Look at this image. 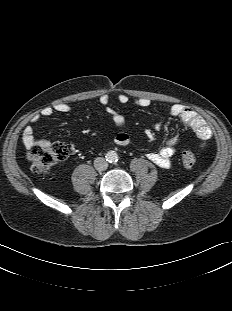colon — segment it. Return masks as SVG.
I'll return each instance as SVG.
<instances>
[{
	"label": "colon",
	"instance_id": "obj_1",
	"mask_svg": "<svg viewBox=\"0 0 232 311\" xmlns=\"http://www.w3.org/2000/svg\"><path fill=\"white\" fill-rule=\"evenodd\" d=\"M67 156V146L62 142L34 146L28 153L31 170L36 174L49 171L55 164L64 161ZM181 161L185 167L191 168L196 163V156L191 149H184L181 153Z\"/></svg>",
	"mask_w": 232,
	"mask_h": 311
}]
</instances>
